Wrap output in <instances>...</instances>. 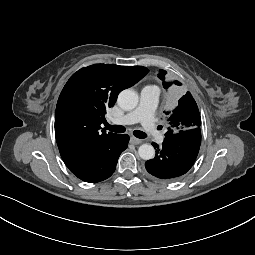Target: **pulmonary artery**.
Here are the masks:
<instances>
[{
	"instance_id": "obj_1",
	"label": "pulmonary artery",
	"mask_w": 255,
	"mask_h": 255,
	"mask_svg": "<svg viewBox=\"0 0 255 255\" xmlns=\"http://www.w3.org/2000/svg\"><path fill=\"white\" fill-rule=\"evenodd\" d=\"M159 88L155 85L145 86L140 93L138 106L131 112L113 119L115 124L130 125L141 122L147 133L163 141L162 135L158 132L155 124V109L158 103Z\"/></svg>"
}]
</instances>
